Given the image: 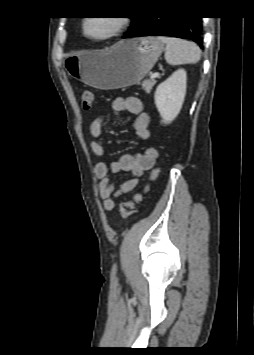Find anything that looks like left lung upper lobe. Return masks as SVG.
Returning a JSON list of instances; mask_svg holds the SVG:
<instances>
[{
  "instance_id": "obj_1",
  "label": "left lung upper lobe",
  "mask_w": 254,
  "mask_h": 355,
  "mask_svg": "<svg viewBox=\"0 0 254 355\" xmlns=\"http://www.w3.org/2000/svg\"><path fill=\"white\" fill-rule=\"evenodd\" d=\"M136 20H137L136 17H132V25L135 23ZM132 25H131V26H132ZM131 26H130V27H131Z\"/></svg>"
}]
</instances>
